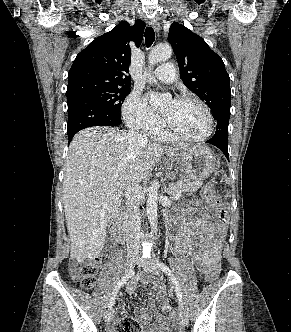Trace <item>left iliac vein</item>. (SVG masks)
<instances>
[{
    "label": "left iliac vein",
    "instance_id": "4c4485c4",
    "mask_svg": "<svg viewBox=\"0 0 291 332\" xmlns=\"http://www.w3.org/2000/svg\"><path fill=\"white\" fill-rule=\"evenodd\" d=\"M158 262H159V260H157V259H149V260L139 259L137 263H138V265L149 270L152 274L160 275V268L158 266ZM178 313H179L180 324L183 326L187 325L188 316H187V313L185 312V310L183 308L179 307Z\"/></svg>",
    "mask_w": 291,
    "mask_h": 332
}]
</instances>
